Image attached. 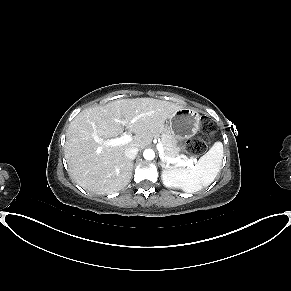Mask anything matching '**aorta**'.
Listing matches in <instances>:
<instances>
[{
    "mask_svg": "<svg viewBox=\"0 0 291 291\" xmlns=\"http://www.w3.org/2000/svg\"><path fill=\"white\" fill-rule=\"evenodd\" d=\"M143 156L146 160H153L155 158V152L152 149H145Z\"/></svg>",
    "mask_w": 291,
    "mask_h": 291,
    "instance_id": "obj_1",
    "label": "aorta"
}]
</instances>
